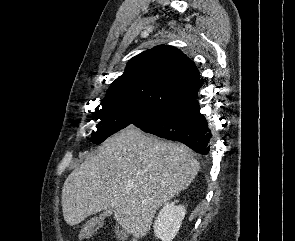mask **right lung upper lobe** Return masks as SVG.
<instances>
[{"label":"right lung upper lobe","mask_w":295,"mask_h":241,"mask_svg":"<svg viewBox=\"0 0 295 241\" xmlns=\"http://www.w3.org/2000/svg\"><path fill=\"white\" fill-rule=\"evenodd\" d=\"M200 86L199 71L193 61L173 46L160 45L129 60L106 98L166 112L196 99Z\"/></svg>","instance_id":"obj_1"}]
</instances>
